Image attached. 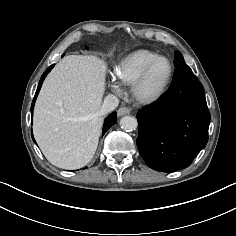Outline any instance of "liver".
<instances>
[{
  "label": "liver",
  "instance_id": "1",
  "mask_svg": "<svg viewBox=\"0 0 236 236\" xmlns=\"http://www.w3.org/2000/svg\"><path fill=\"white\" fill-rule=\"evenodd\" d=\"M105 65L93 56H67L46 77L38 95L33 133L53 165L74 170L93 158L101 133Z\"/></svg>",
  "mask_w": 236,
  "mask_h": 236
}]
</instances>
